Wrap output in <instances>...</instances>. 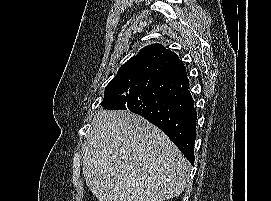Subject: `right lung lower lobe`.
Instances as JSON below:
<instances>
[{"mask_svg": "<svg viewBox=\"0 0 271 201\" xmlns=\"http://www.w3.org/2000/svg\"><path fill=\"white\" fill-rule=\"evenodd\" d=\"M145 90L127 97L121 110H130L156 125L194 164L197 113L189 91L186 69L171 52L150 69Z\"/></svg>", "mask_w": 271, "mask_h": 201, "instance_id": "98d812e1", "label": "right lung lower lobe"}]
</instances>
